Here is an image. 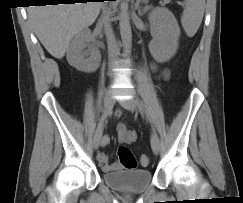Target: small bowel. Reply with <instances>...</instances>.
Returning <instances> with one entry per match:
<instances>
[{
	"label": "small bowel",
	"instance_id": "c3829d8e",
	"mask_svg": "<svg viewBox=\"0 0 243 203\" xmlns=\"http://www.w3.org/2000/svg\"><path fill=\"white\" fill-rule=\"evenodd\" d=\"M170 75L169 70L165 69L162 71V77L167 79ZM118 139L120 143L131 144L136 141L137 135L135 131L129 130L123 123L118 124L117 126ZM110 143V137L108 135L103 136L101 140L102 146H107ZM98 162L101 168L106 171H115L121 169V164L119 161L114 163H109L107 154L100 152L97 155Z\"/></svg>",
	"mask_w": 243,
	"mask_h": 203
}]
</instances>
